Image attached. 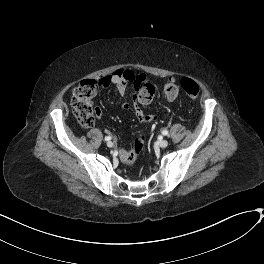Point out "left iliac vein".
I'll list each match as a JSON object with an SVG mask.
<instances>
[{"instance_id":"left-iliac-vein-1","label":"left iliac vein","mask_w":264,"mask_h":264,"mask_svg":"<svg viewBox=\"0 0 264 264\" xmlns=\"http://www.w3.org/2000/svg\"><path fill=\"white\" fill-rule=\"evenodd\" d=\"M168 144H169L168 141L165 139L158 141V146L161 148H166L168 146Z\"/></svg>"}]
</instances>
